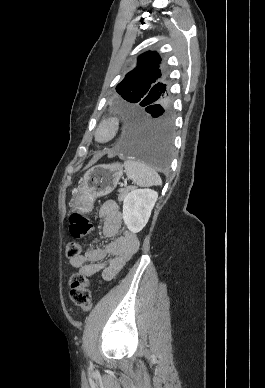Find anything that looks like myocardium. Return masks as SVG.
Listing matches in <instances>:
<instances>
[{
    "mask_svg": "<svg viewBox=\"0 0 265 388\" xmlns=\"http://www.w3.org/2000/svg\"><path fill=\"white\" fill-rule=\"evenodd\" d=\"M119 129V121L116 117H109L103 120L99 127L98 132L100 135V142H108L112 140L118 132Z\"/></svg>",
    "mask_w": 265,
    "mask_h": 388,
    "instance_id": "1",
    "label": "myocardium"
}]
</instances>
